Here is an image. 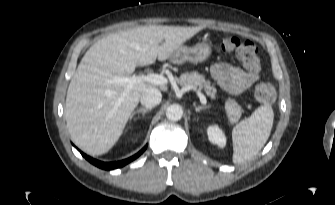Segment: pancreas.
I'll use <instances>...</instances> for the list:
<instances>
[{
  "mask_svg": "<svg viewBox=\"0 0 335 205\" xmlns=\"http://www.w3.org/2000/svg\"><path fill=\"white\" fill-rule=\"evenodd\" d=\"M178 83L183 87H190L194 90L204 89L208 96L215 99L216 88L198 72L181 74ZM225 110L227 119L231 124L238 122L242 114V108L235 100L228 98L225 102Z\"/></svg>",
  "mask_w": 335,
  "mask_h": 205,
  "instance_id": "1",
  "label": "pancreas"
}]
</instances>
